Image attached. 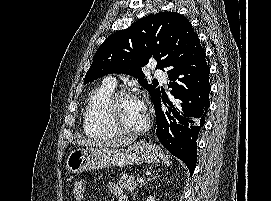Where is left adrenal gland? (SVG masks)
Instances as JSON below:
<instances>
[{"label":"left adrenal gland","mask_w":271,"mask_h":201,"mask_svg":"<svg viewBox=\"0 0 271 201\" xmlns=\"http://www.w3.org/2000/svg\"><path fill=\"white\" fill-rule=\"evenodd\" d=\"M154 178H155V177H153V178H151V179H148V181H151V180H153ZM148 181L144 182L143 184H141V185L139 186V189H138L137 192L135 193L134 198L137 196V194H138L140 188H141L143 185H145Z\"/></svg>","instance_id":"obj_1"}]
</instances>
